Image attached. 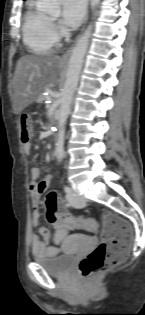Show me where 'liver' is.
<instances>
[{"label": "liver", "instance_id": "1", "mask_svg": "<svg viewBox=\"0 0 145 315\" xmlns=\"http://www.w3.org/2000/svg\"><path fill=\"white\" fill-rule=\"evenodd\" d=\"M62 67L57 55H24L16 64L13 78V111L22 112L38 100L46 87L52 86Z\"/></svg>", "mask_w": 145, "mask_h": 315}]
</instances>
